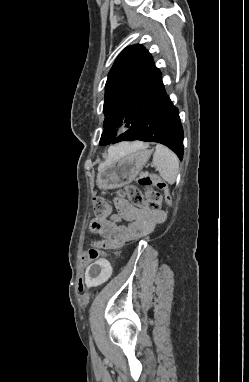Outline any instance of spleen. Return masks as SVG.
<instances>
[{"label": "spleen", "mask_w": 249, "mask_h": 382, "mask_svg": "<svg viewBox=\"0 0 249 382\" xmlns=\"http://www.w3.org/2000/svg\"><path fill=\"white\" fill-rule=\"evenodd\" d=\"M153 165L160 176L169 184L176 181L179 170V159L169 148L157 144L153 155Z\"/></svg>", "instance_id": "3e777b00"}]
</instances>
